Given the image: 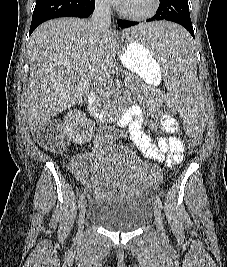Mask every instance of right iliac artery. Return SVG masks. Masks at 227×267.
<instances>
[{"mask_svg":"<svg viewBox=\"0 0 227 267\" xmlns=\"http://www.w3.org/2000/svg\"><path fill=\"white\" fill-rule=\"evenodd\" d=\"M83 202H84V193L81 194V196L79 198V207L82 206Z\"/></svg>","mask_w":227,"mask_h":267,"instance_id":"right-iliac-artery-1","label":"right iliac artery"}]
</instances>
